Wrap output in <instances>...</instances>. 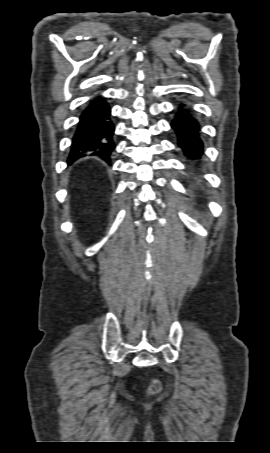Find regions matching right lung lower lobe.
<instances>
[{
    "label": "right lung lower lobe",
    "instance_id": "obj_1",
    "mask_svg": "<svg viewBox=\"0 0 270 453\" xmlns=\"http://www.w3.org/2000/svg\"><path fill=\"white\" fill-rule=\"evenodd\" d=\"M111 109L102 97L90 101L82 112L72 139L68 163L89 156H98L107 163L115 145Z\"/></svg>",
    "mask_w": 270,
    "mask_h": 453
}]
</instances>
